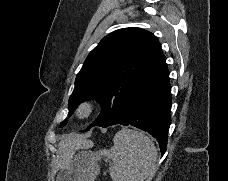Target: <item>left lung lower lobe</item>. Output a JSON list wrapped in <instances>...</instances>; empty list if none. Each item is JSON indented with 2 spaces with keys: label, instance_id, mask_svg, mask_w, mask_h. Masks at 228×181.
<instances>
[{
  "label": "left lung lower lobe",
  "instance_id": "1",
  "mask_svg": "<svg viewBox=\"0 0 228 181\" xmlns=\"http://www.w3.org/2000/svg\"><path fill=\"white\" fill-rule=\"evenodd\" d=\"M171 104L169 71L162 56L139 80L123 117L115 124L132 125L148 132L157 139L163 156L171 124Z\"/></svg>",
  "mask_w": 228,
  "mask_h": 181
}]
</instances>
